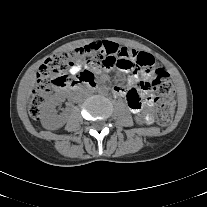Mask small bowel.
Wrapping results in <instances>:
<instances>
[{
  "mask_svg": "<svg viewBox=\"0 0 207 207\" xmlns=\"http://www.w3.org/2000/svg\"><path fill=\"white\" fill-rule=\"evenodd\" d=\"M80 67L73 65L69 72L71 75L79 73ZM129 72L128 85H118L113 88V94L117 97H124L130 110L135 114H141L142 120L146 123L153 121V98L147 88V78L151 76L152 71H141L143 80L139 79L138 69L126 70Z\"/></svg>",
  "mask_w": 207,
  "mask_h": 207,
  "instance_id": "small-bowel-1",
  "label": "small bowel"
}]
</instances>
